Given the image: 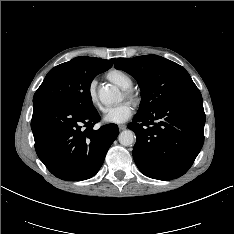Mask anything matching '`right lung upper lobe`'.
Here are the masks:
<instances>
[{
    "mask_svg": "<svg viewBox=\"0 0 234 234\" xmlns=\"http://www.w3.org/2000/svg\"><path fill=\"white\" fill-rule=\"evenodd\" d=\"M76 61L86 70H97L105 72L106 70L110 69L114 63L115 59L111 60H103L99 58L93 57H76Z\"/></svg>",
    "mask_w": 234,
    "mask_h": 234,
    "instance_id": "1",
    "label": "right lung upper lobe"
}]
</instances>
